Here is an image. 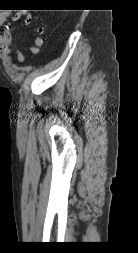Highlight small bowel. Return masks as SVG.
<instances>
[{"instance_id": "1", "label": "small bowel", "mask_w": 138, "mask_h": 253, "mask_svg": "<svg viewBox=\"0 0 138 253\" xmlns=\"http://www.w3.org/2000/svg\"><path fill=\"white\" fill-rule=\"evenodd\" d=\"M24 17V22L26 25L31 23L32 17L29 14L18 12L14 15L13 21H18L20 18ZM8 18L7 13H0V26H3ZM12 45V36L9 27L0 32V50H2L5 56L10 54H16L19 63L24 61V56L21 52L16 51L11 48ZM33 50V48H31Z\"/></svg>"}]
</instances>
